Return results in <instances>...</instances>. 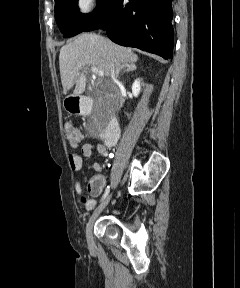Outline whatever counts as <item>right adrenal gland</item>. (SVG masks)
Instances as JSON below:
<instances>
[{
	"label": "right adrenal gland",
	"mask_w": 240,
	"mask_h": 288,
	"mask_svg": "<svg viewBox=\"0 0 240 288\" xmlns=\"http://www.w3.org/2000/svg\"><path fill=\"white\" fill-rule=\"evenodd\" d=\"M135 70H136V66L135 65L125 66V67H122V68H118L117 74L119 75L120 73H128L130 71H135Z\"/></svg>",
	"instance_id": "1"
}]
</instances>
